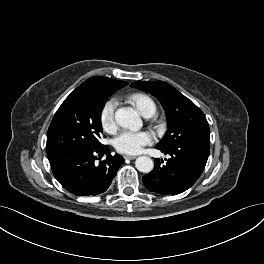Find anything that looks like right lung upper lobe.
<instances>
[{
  "label": "right lung upper lobe",
  "mask_w": 264,
  "mask_h": 264,
  "mask_svg": "<svg viewBox=\"0 0 264 264\" xmlns=\"http://www.w3.org/2000/svg\"><path fill=\"white\" fill-rule=\"evenodd\" d=\"M126 81L114 80L106 77H91L83 82L75 90L109 94L110 96L118 89L125 87Z\"/></svg>",
  "instance_id": "1"
}]
</instances>
